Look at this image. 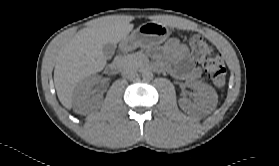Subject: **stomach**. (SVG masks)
I'll use <instances>...</instances> for the list:
<instances>
[{
    "mask_svg": "<svg viewBox=\"0 0 279 166\" xmlns=\"http://www.w3.org/2000/svg\"><path fill=\"white\" fill-rule=\"evenodd\" d=\"M169 35V29L161 23H144L120 42V48L123 51H131L138 47L148 49L163 43Z\"/></svg>",
    "mask_w": 279,
    "mask_h": 166,
    "instance_id": "0dacf381",
    "label": "stomach"
}]
</instances>
